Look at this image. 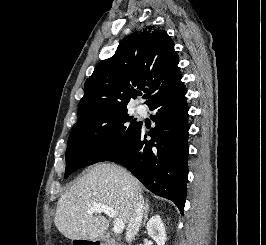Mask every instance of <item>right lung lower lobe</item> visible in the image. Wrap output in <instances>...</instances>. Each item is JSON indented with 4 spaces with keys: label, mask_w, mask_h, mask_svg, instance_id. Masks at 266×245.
Returning a JSON list of instances; mask_svg holds the SVG:
<instances>
[{
    "label": "right lung lower lobe",
    "mask_w": 266,
    "mask_h": 245,
    "mask_svg": "<svg viewBox=\"0 0 266 245\" xmlns=\"http://www.w3.org/2000/svg\"><path fill=\"white\" fill-rule=\"evenodd\" d=\"M185 94L180 81L154 98L147 106L156 110L152 118L156 126L147 130L139 123L131 143L107 160L122 163L150 191L173 201L181 214L186 200L189 150Z\"/></svg>",
    "instance_id": "right-lung-lower-lobe-1"
}]
</instances>
